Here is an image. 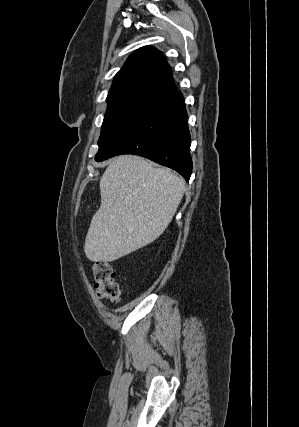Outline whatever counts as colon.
<instances>
[{"instance_id":"colon-1","label":"colon","mask_w":299,"mask_h":427,"mask_svg":"<svg viewBox=\"0 0 299 427\" xmlns=\"http://www.w3.org/2000/svg\"><path fill=\"white\" fill-rule=\"evenodd\" d=\"M93 275L98 297L117 302L120 298V286L112 266L108 262H96L93 265Z\"/></svg>"}]
</instances>
